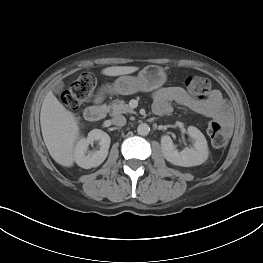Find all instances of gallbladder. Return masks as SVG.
I'll return each mask as SVG.
<instances>
[{"label":"gallbladder","instance_id":"1","mask_svg":"<svg viewBox=\"0 0 263 263\" xmlns=\"http://www.w3.org/2000/svg\"><path fill=\"white\" fill-rule=\"evenodd\" d=\"M64 88V83L63 82H56L53 87L52 90L54 91V93L59 94Z\"/></svg>","mask_w":263,"mask_h":263}]
</instances>
